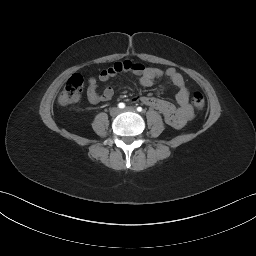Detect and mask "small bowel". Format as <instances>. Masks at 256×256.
I'll return each mask as SVG.
<instances>
[{
    "mask_svg": "<svg viewBox=\"0 0 256 256\" xmlns=\"http://www.w3.org/2000/svg\"><path fill=\"white\" fill-rule=\"evenodd\" d=\"M121 72H130L139 76V83L143 87H151L156 79L166 76L178 88L175 97L177 105L165 99L147 95L137 96L134 100L156 109L162 114L166 123L174 128H181L192 119L193 112L188 102L189 90L185 85L183 76L175 68L171 67L163 71L140 62L125 60L115 62L112 66L101 70L98 80L107 82ZM113 95L114 89L112 87H106L102 93H99L97 80L93 77L88 80L87 98L90 103L98 104L109 101Z\"/></svg>",
    "mask_w": 256,
    "mask_h": 256,
    "instance_id": "c3829d8e",
    "label": "small bowel"
}]
</instances>
